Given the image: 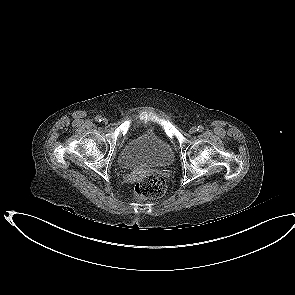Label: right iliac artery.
Masks as SVG:
<instances>
[{"label": "right iliac artery", "instance_id": "1", "mask_svg": "<svg viewBox=\"0 0 295 295\" xmlns=\"http://www.w3.org/2000/svg\"><path fill=\"white\" fill-rule=\"evenodd\" d=\"M95 120H96L97 122H101V121H102V117L98 115V116H96Z\"/></svg>", "mask_w": 295, "mask_h": 295}]
</instances>
